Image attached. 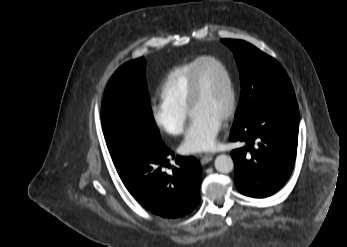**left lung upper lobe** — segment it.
<instances>
[{"label": "left lung upper lobe", "instance_id": "left-lung-upper-lobe-1", "mask_svg": "<svg viewBox=\"0 0 347 247\" xmlns=\"http://www.w3.org/2000/svg\"><path fill=\"white\" fill-rule=\"evenodd\" d=\"M222 42L233 51L240 72L241 97L233 125L272 99L295 97L288 75L274 58L245 41Z\"/></svg>", "mask_w": 347, "mask_h": 247}]
</instances>
